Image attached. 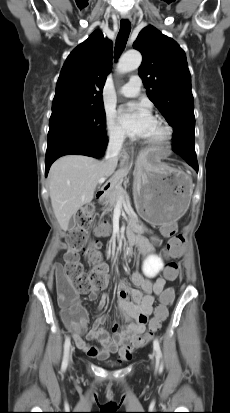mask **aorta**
Instances as JSON below:
<instances>
[{
	"instance_id": "1",
	"label": "aorta",
	"mask_w": 230,
	"mask_h": 413,
	"mask_svg": "<svg viewBox=\"0 0 230 413\" xmlns=\"http://www.w3.org/2000/svg\"><path fill=\"white\" fill-rule=\"evenodd\" d=\"M142 61L140 52L131 50L126 52L119 60L117 65L118 73H127L137 69Z\"/></svg>"
}]
</instances>
